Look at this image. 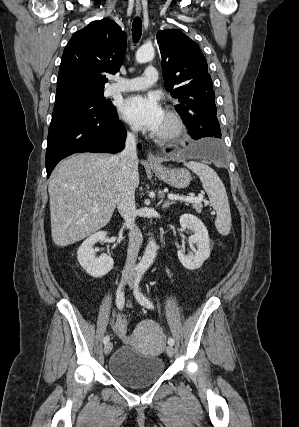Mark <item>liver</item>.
Returning a JSON list of instances; mask_svg holds the SVG:
<instances>
[{"label":"liver","mask_w":299,"mask_h":427,"mask_svg":"<svg viewBox=\"0 0 299 427\" xmlns=\"http://www.w3.org/2000/svg\"><path fill=\"white\" fill-rule=\"evenodd\" d=\"M119 172L120 160L105 153L75 154L57 165L48 184L51 235L57 246L78 242L109 223L117 204Z\"/></svg>","instance_id":"6515ba94"}]
</instances>
